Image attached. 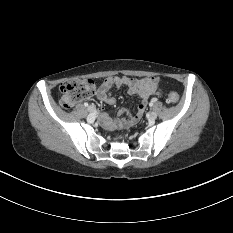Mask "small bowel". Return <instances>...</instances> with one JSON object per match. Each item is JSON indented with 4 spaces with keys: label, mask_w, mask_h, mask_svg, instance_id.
<instances>
[{
    "label": "small bowel",
    "mask_w": 233,
    "mask_h": 233,
    "mask_svg": "<svg viewBox=\"0 0 233 233\" xmlns=\"http://www.w3.org/2000/svg\"><path fill=\"white\" fill-rule=\"evenodd\" d=\"M159 83L160 79L158 77L139 79L127 76H110L100 85L97 92V98L102 102L113 105L115 104L116 99L111 95L110 89L112 87L120 88L126 86L130 95H137L141 99L136 112L130 114L128 118L124 120V122H135L143 115L149 97L160 94ZM122 113L123 111H119V114ZM99 121L106 128H114L117 125L107 113H101L99 115Z\"/></svg>",
    "instance_id": "1"
}]
</instances>
